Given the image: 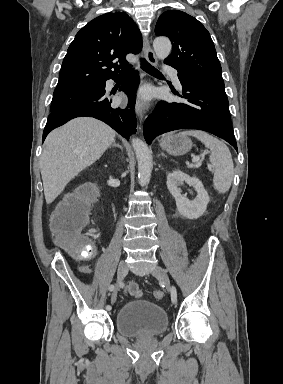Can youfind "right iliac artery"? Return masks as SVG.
Masks as SVG:
<instances>
[{
  "instance_id": "obj_1",
  "label": "right iliac artery",
  "mask_w": 283,
  "mask_h": 384,
  "mask_svg": "<svg viewBox=\"0 0 283 384\" xmlns=\"http://www.w3.org/2000/svg\"><path fill=\"white\" fill-rule=\"evenodd\" d=\"M114 288H115V286H114L113 284L109 286V290H110V291H113ZM111 308H112V307H111L110 305H107V306H106V309H107V310H111Z\"/></svg>"
}]
</instances>
